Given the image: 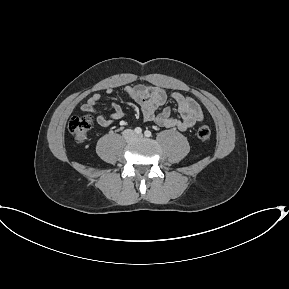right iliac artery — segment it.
I'll return each mask as SVG.
<instances>
[{
	"label": "right iliac artery",
	"instance_id": "obj_1",
	"mask_svg": "<svg viewBox=\"0 0 289 289\" xmlns=\"http://www.w3.org/2000/svg\"><path fill=\"white\" fill-rule=\"evenodd\" d=\"M134 132H135L136 134H141V133H142V129H141L140 127H136L135 130H134Z\"/></svg>",
	"mask_w": 289,
	"mask_h": 289
}]
</instances>
